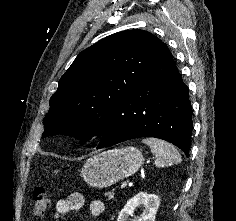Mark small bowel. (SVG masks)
Returning a JSON list of instances; mask_svg holds the SVG:
<instances>
[{
  "instance_id": "c3829d8e",
  "label": "small bowel",
  "mask_w": 236,
  "mask_h": 221,
  "mask_svg": "<svg viewBox=\"0 0 236 221\" xmlns=\"http://www.w3.org/2000/svg\"><path fill=\"white\" fill-rule=\"evenodd\" d=\"M85 198L80 193H72L66 198L59 199L55 204V217L75 211L84 206ZM104 211V204L99 200L90 203L89 213L92 220H96Z\"/></svg>"
}]
</instances>
